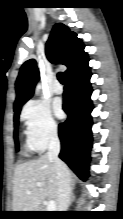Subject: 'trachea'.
Here are the masks:
<instances>
[{
    "mask_svg": "<svg viewBox=\"0 0 123 219\" xmlns=\"http://www.w3.org/2000/svg\"><path fill=\"white\" fill-rule=\"evenodd\" d=\"M57 78H58V80L60 81L61 84H65L66 79H65V75H64L63 72H59L57 74Z\"/></svg>",
    "mask_w": 123,
    "mask_h": 219,
    "instance_id": "1",
    "label": "trachea"
}]
</instances>
